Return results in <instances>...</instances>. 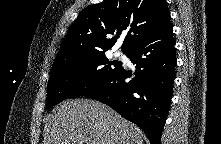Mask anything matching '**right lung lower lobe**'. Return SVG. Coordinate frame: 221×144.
<instances>
[{"label": "right lung lower lobe", "mask_w": 221, "mask_h": 144, "mask_svg": "<svg viewBox=\"0 0 221 144\" xmlns=\"http://www.w3.org/2000/svg\"><path fill=\"white\" fill-rule=\"evenodd\" d=\"M175 41L172 24L133 45L125 55L135 64L132 72L120 69L105 83L83 96L109 105L140 126L151 144H160L170 109L175 78Z\"/></svg>", "instance_id": "98d812e1"}]
</instances>
